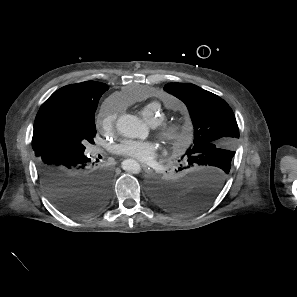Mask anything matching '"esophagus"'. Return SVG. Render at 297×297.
I'll return each instance as SVG.
<instances>
[{
	"label": "esophagus",
	"instance_id": "esophagus-1",
	"mask_svg": "<svg viewBox=\"0 0 297 297\" xmlns=\"http://www.w3.org/2000/svg\"><path fill=\"white\" fill-rule=\"evenodd\" d=\"M141 166L145 172H147V173L152 172V169L148 165L141 163Z\"/></svg>",
	"mask_w": 297,
	"mask_h": 297
}]
</instances>
